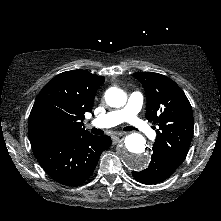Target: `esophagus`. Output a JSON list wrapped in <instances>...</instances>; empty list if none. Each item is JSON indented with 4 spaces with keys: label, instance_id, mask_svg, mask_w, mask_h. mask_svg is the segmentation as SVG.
<instances>
[{
    "label": "esophagus",
    "instance_id": "1",
    "mask_svg": "<svg viewBox=\"0 0 221 221\" xmlns=\"http://www.w3.org/2000/svg\"><path fill=\"white\" fill-rule=\"evenodd\" d=\"M125 136L124 133H114L111 138L113 140L114 143H117L121 138H123Z\"/></svg>",
    "mask_w": 221,
    "mask_h": 221
}]
</instances>
